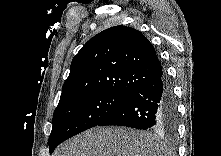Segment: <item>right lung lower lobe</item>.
Returning a JSON list of instances; mask_svg holds the SVG:
<instances>
[{
	"label": "right lung lower lobe",
	"instance_id": "right-lung-lower-lobe-1",
	"mask_svg": "<svg viewBox=\"0 0 221 156\" xmlns=\"http://www.w3.org/2000/svg\"><path fill=\"white\" fill-rule=\"evenodd\" d=\"M104 125L173 132L177 125L176 102L166 74L144 84L98 126Z\"/></svg>",
	"mask_w": 221,
	"mask_h": 156
}]
</instances>
